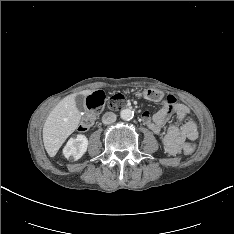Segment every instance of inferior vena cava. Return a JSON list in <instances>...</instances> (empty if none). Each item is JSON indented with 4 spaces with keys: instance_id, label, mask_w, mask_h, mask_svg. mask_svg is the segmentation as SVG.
<instances>
[{
    "instance_id": "1",
    "label": "inferior vena cava",
    "mask_w": 234,
    "mask_h": 234,
    "mask_svg": "<svg viewBox=\"0 0 234 234\" xmlns=\"http://www.w3.org/2000/svg\"><path fill=\"white\" fill-rule=\"evenodd\" d=\"M117 119V116L115 113L113 112H107L103 115L102 117V122L104 124H111V123H114Z\"/></svg>"
}]
</instances>
